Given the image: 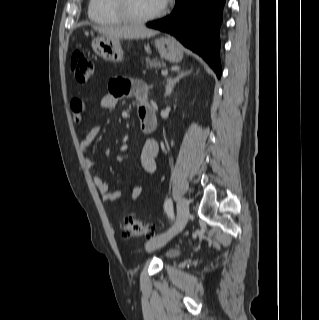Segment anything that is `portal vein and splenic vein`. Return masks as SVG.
<instances>
[{
    "label": "portal vein and splenic vein",
    "instance_id": "portal-vein-and-splenic-vein-1",
    "mask_svg": "<svg viewBox=\"0 0 319 320\" xmlns=\"http://www.w3.org/2000/svg\"><path fill=\"white\" fill-rule=\"evenodd\" d=\"M161 74H162L163 76H167V75H168V70H167V69L162 70V71H161Z\"/></svg>",
    "mask_w": 319,
    "mask_h": 320
}]
</instances>
